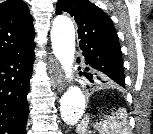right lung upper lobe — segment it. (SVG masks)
<instances>
[{"label": "right lung upper lobe", "mask_w": 153, "mask_h": 134, "mask_svg": "<svg viewBox=\"0 0 153 134\" xmlns=\"http://www.w3.org/2000/svg\"><path fill=\"white\" fill-rule=\"evenodd\" d=\"M34 35L33 19L24 1L0 3V60L35 46Z\"/></svg>", "instance_id": "cb5924a9"}]
</instances>
